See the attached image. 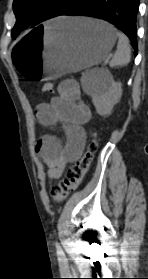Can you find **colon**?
Segmentation results:
<instances>
[{
  "instance_id": "1",
  "label": "colon",
  "mask_w": 148,
  "mask_h": 279,
  "mask_svg": "<svg viewBox=\"0 0 148 279\" xmlns=\"http://www.w3.org/2000/svg\"><path fill=\"white\" fill-rule=\"evenodd\" d=\"M42 91L45 93H53L54 85L49 82L44 83ZM97 146V135L93 134L90 137L85 152L81 158L67 168L65 179L52 189L51 194L56 202L65 200L81 185L85 176L89 172Z\"/></svg>"
}]
</instances>
